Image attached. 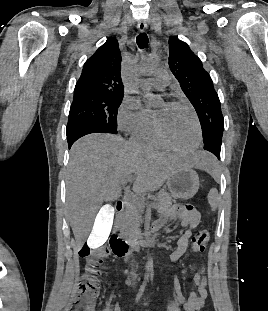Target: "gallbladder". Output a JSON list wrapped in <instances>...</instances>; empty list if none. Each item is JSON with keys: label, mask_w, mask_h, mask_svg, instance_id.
Returning a JSON list of instances; mask_svg holds the SVG:
<instances>
[{"label": "gallbladder", "mask_w": 268, "mask_h": 311, "mask_svg": "<svg viewBox=\"0 0 268 311\" xmlns=\"http://www.w3.org/2000/svg\"><path fill=\"white\" fill-rule=\"evenodd\" d=\"M115 206V202H104L101 209H98L94 227L88 234L90 249H99V246H104V239H108V234L112 233Z\"/></svg>", "instance_id": "obj_1"}]
</instances>
